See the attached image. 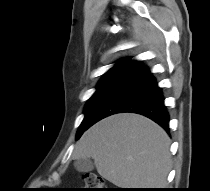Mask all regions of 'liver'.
I'll use <instances>...</instances> for the list:
<instances>
[{"mask_svg": "<svg viewBox=\"0 0 210 191\" xmlns=\"http://www.w3.org/2000/svg\"><path fill=\"white\" fill-rule=\"evenodd\" d=\"M170 139L152 120L132 113L107 117L89 128L73 152L92 158L101 177L120 188H163L171 169Z\"/></svg>", "mask_w": 210, "mask_h": 191, "instance_id": "1", "label": "liver"}]
</instances>
